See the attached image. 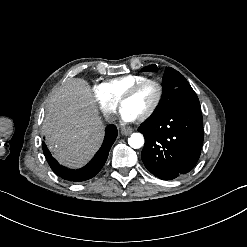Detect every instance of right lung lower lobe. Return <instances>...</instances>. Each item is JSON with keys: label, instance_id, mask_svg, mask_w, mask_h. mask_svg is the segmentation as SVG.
Listing matches in <instances>:
<instances>
[{"label": "right lung lower lobe", "instance_id": "1", "mask_svg": "<svg viewBox=\"0 0 247 247\" xmlns=\"http://www.w3.org/2000/svg\"><path fill=\"white\" fill-rule=\"evenodd\" d=\"M116 137V126L113 124L108 125L101 148L86 166L78 170H71L60 165L52 156L44 142H42V148L49 166L59 177L67 181L81 182L93 178L102 169Z\"/></svg>", "mask_w": 247, "mask_h": 247}]
</instances>
